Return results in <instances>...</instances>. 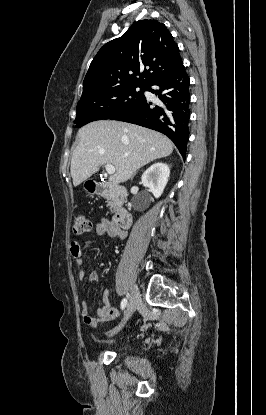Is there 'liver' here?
Listing matches in <instances>:
<instances>
[{
  "label": "liver",
  "instance_id": "1",
  "mask_svg": "<svg viewBox=\"0 0 266 415\" xmlns=\"http://www.w3.org/2000/svg\"><path fill=\"white\" fill-rule=\"evenodd\" d=\"M173 152V143L156 131L119 121L91 122L77 133L71 160V176L76 187L104 164L115 173L110 182H126L140 167Z\"/></svg>",
  "mask_w": 266,
  "mask_h": 415
}]
</instances>
